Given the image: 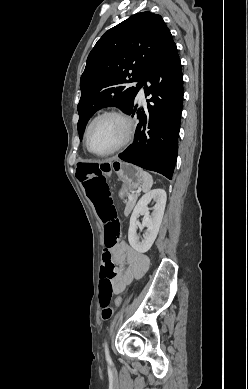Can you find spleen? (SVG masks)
<instances>
[{
  "label": "spleen",
  "mask_w": 248,
  "mask_h": 389,
  "mask_svg": "<svg viewBox=\"0 0 248 389\" xmlns=\"http://www.w3.org/2000/svg\"><path fill=\"white\" fill-rule=\"evenodd\" d=\"M140 174L142 177V190L143 192H148L152 188L153 178L148 172L143 170H141Z\"/></svg>",
  "instance_id": "spleen-1"
}]
</instances>
